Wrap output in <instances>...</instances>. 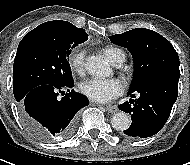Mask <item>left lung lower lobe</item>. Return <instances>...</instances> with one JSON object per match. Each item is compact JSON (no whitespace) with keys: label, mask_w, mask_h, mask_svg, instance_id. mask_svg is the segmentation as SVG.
I'll return each instance as SVG.
<instances>
[{"label":"left lung lower lobe","mask_w":190,"mask_h":165,"mask_svg":"<svg viewBox=\"0 0 190 165\" xmlns=\"http://www.w3.org/2000/svg\"><path fill=\"white\" fill-rule=\"evenodd\" d=\"M179 77L163 75L151 78L128 96L139 98L118 105V108L131 115V126L124 133L131 137L146 138L158 133L166 123L178 95Z\"/></svg>","instance_id":"0a47b994"}]
</instances>
